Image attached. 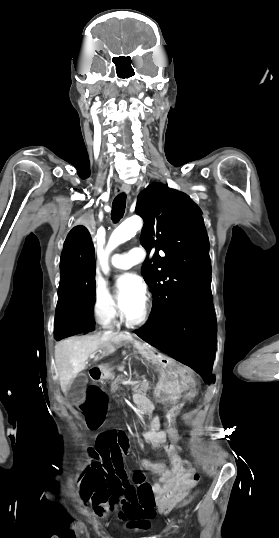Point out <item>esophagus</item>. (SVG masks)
Here are the masks:
<instances>
[{
    "instance_id": "34e87169",
    "label": "esophagus",
    "mask_w": 279,
    "mask_h": 538,
    "mask_svg": "<svg viewBox=\"0 0 279 538\" xmlns=\"http://www.w3.org/2000/svg\"><path fill=\"white\" fill-rule=\"evenodd\" d=\"M121 190H122V192H125V193L128 194L130 192V190H131V187L127 183H123V185L121 187Z\"/></svg>"
}]
</instances>
